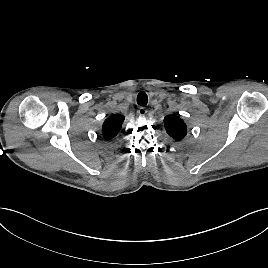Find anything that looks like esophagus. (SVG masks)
I'll return each instance as SVG.
<instances>
[{
	"instance_id": "34e87169",
	"label": "esophagus",
	"mask_w": 268,
	"mask_h": 268,
	"mask_svg": "<svg viewBox=\"0 0 268 268\" xmlns=\"http://www.w3.org/2000/svg\"><path fill=\"white\" fill-rule=\"evenodd\" d=\"M137 113L139 116H145L146 113H147V110L144 108V107H140L138 110H137Z\"/></svg>"
}]
</instances>
